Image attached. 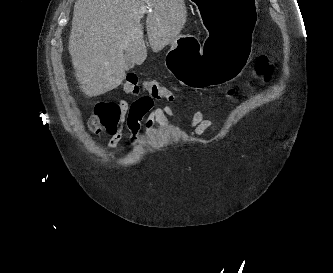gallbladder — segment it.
Returning <instances> with one entry per match:
<instances>
[{
    "label": "gallbladder",
    "instance_id": "gallbladder-1",
    "mask_svg": "<svg viewBox=\"0 0 333 273\" xmlns=\"http://www.w3.org/2000/svg\"><path fill=\"white\" fill-rule=\"evenodd\" d=\"M125 60H126L127 69L133 68L134 63L132 62L131 58L127 54H125Z\"/></svg>",
    "mask_w": 333,
    "mask_h": 273
}]
</instances>
